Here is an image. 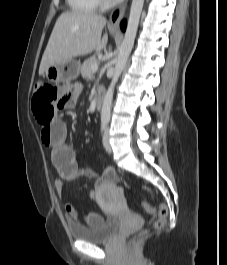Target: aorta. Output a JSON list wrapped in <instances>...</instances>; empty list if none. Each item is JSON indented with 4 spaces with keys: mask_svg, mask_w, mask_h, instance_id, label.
Returning <instances> with one entry per match:
<instances>
[{
    "mask_svg": "<svg viewBox=\"0 0 227 265\" xmlns=\"http://www.w3.org/2000/svg\"><path fill=\"white\" fill-rule=\"evenodd\" d=\"M143 4L144 0H132L125 36L115 63L114 75L103 99L101 111V121L103 123H108L110 120L114 87L126 65L130 52L133 48L141 12L143 9Z\"/></svg>",
    "mask_w": 227,
    "mask_h": 265,
    "instance_id": "1",
    "label": "aorta"
}]
</instances>
